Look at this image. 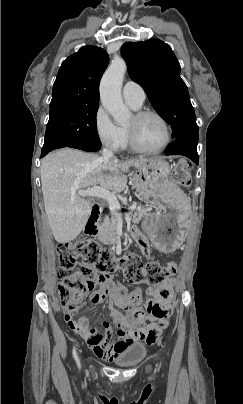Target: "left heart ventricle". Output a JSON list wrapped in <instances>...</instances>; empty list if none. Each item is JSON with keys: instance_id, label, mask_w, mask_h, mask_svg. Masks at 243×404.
<instances>
[{"instance_id": "1", "label": "left heart ventricle", "mask_w": 243, "mask_h": 404, "mask_svg": "<svg viewBox=\"0 0 243 404\" xmlns=\"http://www.w3.org/2000/svg\"><path fill=\"white\" fill-rule=\"evenodd\" d=\"M138 141L147 148H157L164 144L167 131L164 123L155 115H147L136 119L134 115L126 123Z\"/></svg>"}]
</instances>
